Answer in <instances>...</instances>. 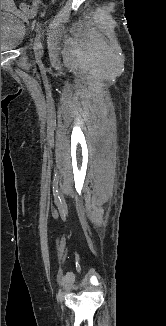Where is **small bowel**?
Listing matches in <instances>:
<instances>
[{"instance_id":"1","label":"small bowel","mask_w":166,"mask_h":326,"mask_svg":"<svg viewBox=\"0 0 166 326\" xmlns=\"http://www.w3.org/2000/svg\"><path fill=\"white\" fill-rule=\"evenodd\" d=\"M1 8L9 9L13 12L17 11L13 0H1Z\"/></svg>"}]
</instances>
